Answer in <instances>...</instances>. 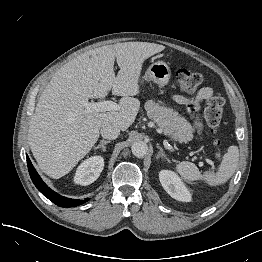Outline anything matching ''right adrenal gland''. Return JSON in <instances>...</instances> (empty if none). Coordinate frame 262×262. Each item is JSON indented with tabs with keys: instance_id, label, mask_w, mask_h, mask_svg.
I'll return each mask as SVG.
<instances>
[{
	"instance_id": "2a0ac1e0",
	"label": "right adrenal gland",
	"mask_w": 262,
	"mask_h": 262,
	"mask_svg": "<svg viewBox=\"0 0 262 262\" xmlns=\"http://www.w3.org/2000/svg\"><path fill=\"white\" fill-rule=\"evenodd\" d=\"M110 142V140H101L100 143L95 147V149L97 150L98 148H102L103 151H106L105 145Z\"/></svg>"
}]
</instances>
